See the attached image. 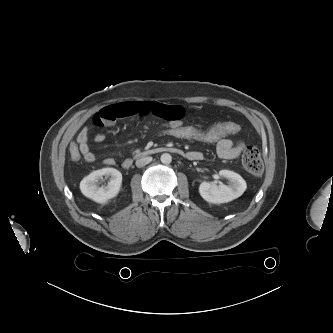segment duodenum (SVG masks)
Segmentation results:
<instances>
[{"label":"duodenum","instance_id":"duodenum-1","mask_svg":"<svg viewBox=\"0 0 333 333\" xmlns=\"http://www.w3.org/2000/svg\"><path fill=\"white\" fill-rule=\"evenodd\" d=\"M163 152H169L173 154H178V155H184L183 151L177 147H171V146H159V147H154L150 148L146 151H144L141 155L142 156H152V155H157ZM185 156L187 158H190L191 155L189 153H186ZM133 164V160L131 158H127L123 161L122 166L125 169H129Z\"/></svg>","mask_w":333,"mask_h":333}]
</instances>
